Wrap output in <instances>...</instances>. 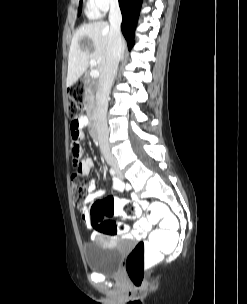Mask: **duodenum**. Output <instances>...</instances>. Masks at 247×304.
<instances>
[{
	"instance_id": "1",
	"label": "duodenum",
	"mask_w": 247,
	"mask_h": 304,
	"mask_svg": "<svg viewBox=\"0 0 247 304\" xmlns=\"http://www.w3.org/2000/svg\"><path fill=\"white\" fill-rule=\"evenodd\" d=\"M91 109H94V111L96 112V107L94 106V108H91ZM92 111V110H91ZM89 127L91 129L90 131V136L91 138H93L92 140L95 142V144H98V128H97V125L95 123V120L94 119H89Z\"/></svg>"
}]
</instances>
